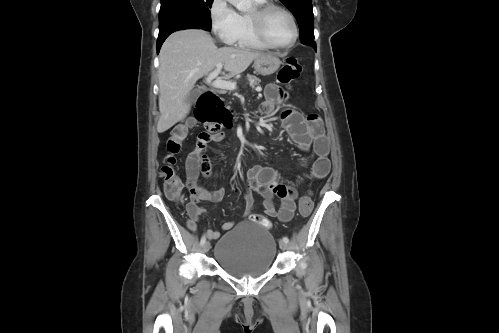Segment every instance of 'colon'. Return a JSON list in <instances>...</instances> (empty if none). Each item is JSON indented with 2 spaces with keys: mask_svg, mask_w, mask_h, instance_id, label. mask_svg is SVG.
I'll return each instance as SVG.
<instances>
[{
  "mask_svg": "<svg viewBox=\"0 0 499 333\" xmlns=\"http://www.w3.org/2000/svg\"><path fill=\"white\" fill-rule=\"evenodd\" d=\"M301 66L294 58H289L286 63L281 67L278 72V81L282 84H290L297 79L301 73ZM213 102L216 109V125L209 128L212 132L220 131L222 125H225L230 119V112L222 105L220 99L214 95ZM192 121L177 124L170 132L166 141V156L160 170V175L164 182V192L171 200H177L181 197L183 192V183L178 177L175 169L176 158L182 148L183 141L187 137L189 127ZM313 210V200L311 195L303 196L299 201V214L302 217H307ZM249 219L253 222L259 223L263 227L270 229L271 222L262 215L252 214Z\"/></svg>",
  "mask_w": 499,
  "mask_h": 333,
  "instance_id": "colon-1",
  "label": "colon"
}]
</instances>
